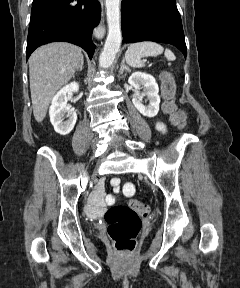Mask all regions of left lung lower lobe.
Here are the masks:
<instances>
[{"mask_svg":"<svg viewBox=\"0 0 240 288\" xmlns=\"http://www.w3.org/2000/svg\"><path fill=\"white\" fill-rule=\"evenodd\" d=\"M124 43L155 41L176 46L186 58V44L176 0H122Z\"/></svg>","mask_w":240,"mask_h":288,"instance_id":"0a47b994","label":"left lung lower lobe"}]
</instances>
